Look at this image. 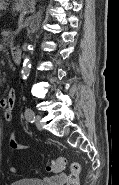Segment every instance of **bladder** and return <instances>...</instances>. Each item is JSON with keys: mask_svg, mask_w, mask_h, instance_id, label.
Here are the masks:
<instances>
[{"mask_svg": "<svg viewBox=\"0 0 119 185\" xmlns=\"http://www.w3.org/2000/svg\"><path fill=\"white\" fill-rule=\"evenodd\" d=\"M9 185H47L44 182L34 178H24L16 180Z\"/></svg>", "mask_w": 119, "mask_h": 185, "instance_id": "bladder-1", "label": "bladder"}]
</instances>
